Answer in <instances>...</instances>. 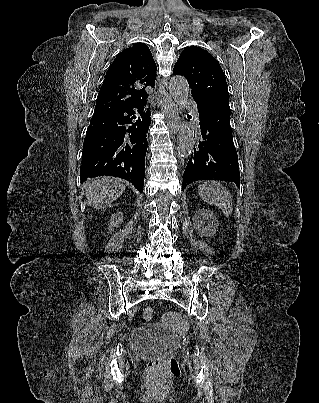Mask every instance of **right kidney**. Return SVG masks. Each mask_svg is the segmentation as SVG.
Returning a JSON list of instances; mask_svg holds the SVG:
<instances>
[{"label": "right kidney", "instance_id": "ca27d5eb", "mask_svg": "<svg viewBox=\"0 0 319 403\" xmlns=\"http://www.w3.org/2000/svg\"><path fill=\"white\" fill-rule=\"evenodd\" d=\"M122 222H123V213L119 211L114 213L110 220L109 229L119 227Z\"/></svg>", "mask_w": 319, "mask_h": 403}]
</instances>
